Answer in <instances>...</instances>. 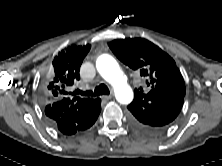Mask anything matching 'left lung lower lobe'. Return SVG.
Instances as JSON below:
<instances>
[{"mask_svg": "<svg viewBox=\"0 0 222 166\" xmlns=\"http://www.w3.org/2000/svg\"><path fill=\"white\" fill-rule=\"evenodd\" d=\"M184 96L177 93H159L150 97L134 94L128 105L132 124L146 132H158L167 128L178 116Z\"/></svg>", "mask_w": 222, "mask_h": 166, "instance_id": "0a47b994", "label": "left lung lower lobe"}]
</instances>
